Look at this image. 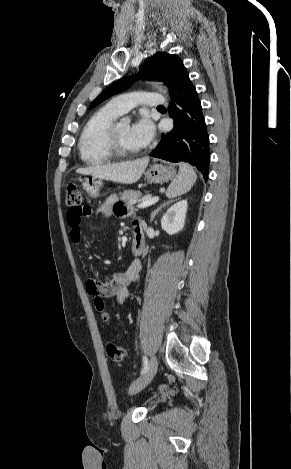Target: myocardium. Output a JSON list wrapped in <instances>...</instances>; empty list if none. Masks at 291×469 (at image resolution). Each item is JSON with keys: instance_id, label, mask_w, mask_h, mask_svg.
<instances>
[{"instance_id": "myocardium-1", "label": "myocardium", "mask_w": 291, "mask_h": 469, "mask_svg": "<svg viewBox=\"0 0 291 469\" xmlns=\"http://www.w3.org/2000/svg\"><path fill=\"white\" fill-rule=\"evenodd\" d=\"M119 124L120 122L116 120L108 128L106 140H107V146H108L109 151L114 157H130V156L137 155L138 153H140L141 151L140 149L129 150V149L124 148L121 145L119 136H118Z\"/></svg>"}]
</instances>
